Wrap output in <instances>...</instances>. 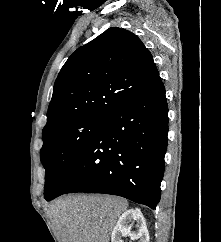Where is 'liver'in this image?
<instances>
[{
    "label": "liver",
    "instance_id": "6515ba94",
    "mask_svg": "<svg viewBox=\"0 0 221 242\" xmlns=\"http://www.w3.org/2000/svg\"><path fill=\"white\" fill-rule=\"evenodd\" d=\"M128 202L113 196H67L55 200L49 216L61 242H109Z\"/></svg>",
    "mask_w": 221,
    "mask_h": 242
}]
</instances>
